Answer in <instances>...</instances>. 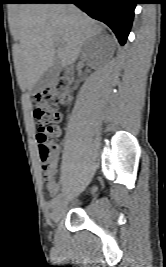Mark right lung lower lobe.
Here are the masks:
<instances>
[{
  "label": "right lung lower lobe",
  "instance_id": "obj_1",
  "mask_svg": "<svg viewBox=\"0 0 166 267\" xmlns=\"http://www.w3.org/2000/svg\"><path fill=\"white\" fill-rule=\"evenodd\" d=\"M20 3H73L92 18L107 24L124 45L137 0H22Z\"/></svg>",
  "mask_w": 166,
  "mask_h": 267
}]
</instances>
